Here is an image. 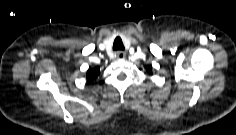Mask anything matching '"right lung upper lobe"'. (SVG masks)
Masks as SVG:
<instances>
[{
    "label": "right lung upper lobe",
    "mask_w": 236,
    "mask_h": 135,
    "mask_svg": "<svg viewBox=\"0 0 236 135\" xmlns=\"http://www.w3.org/2000/svg\"><path fill=\"white\" fill-rule=\"evenodd\" d=\"M99 74H100L99 67L89 68L86 74L87 80L91 82L95 80Z\"/></svg>",
    "instance_id": "right-lung-upper-lobe-1"
}]
</instances>
